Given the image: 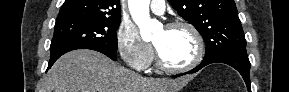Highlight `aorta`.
Wrapping results in <instances>:
<instances>
[{
    "label": "aorta",
    "mask_w": 289,
    "mask_h": 92,
    "mask_svg": "<svg viewBox=\"0 0 289 92\" xmlns=\"http://www.w3.org/2000/svg\"><path fill=\"white\" fill-rule=\"evenodd\" d=\"M150 0H129L128 7L134 22L140 29L142 39L151 38L152 32L160 26V23L150 18Z\"/></svg>",
    "instance_id": "aorta-1"
}]
</instances>
